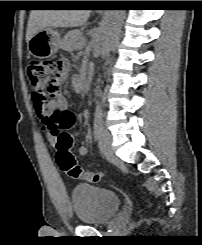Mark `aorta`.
<instances>
[{"label": "aorta", "instance_id": "1", "mask_svg": "<svg viewBox=\"0 0 202 245\" xmlns=\"http://www.w3.org/2000/svg\"><path fill=\"white\" fill-rule=\"evenodd\" d=\"M125 16V10H110L104 25L101 44V58L105 59L115 42Z\"/></svg>", "mask_w": 202, "mask_h": 245}]
</instances>
